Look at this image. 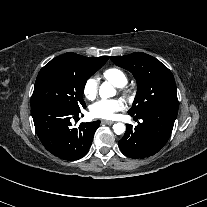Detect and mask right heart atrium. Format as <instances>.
<instances>
[{
    "mask_svg": "<svg viewBox=\"0 0 207 207\" xmlns=\"http://www.w3.org/2000/svg\"><path fill=\"white\" fill-rule=\"evenodd\" d=\"M98 90V81L96 77L88 78L83 86V94L86 98L92 99L96 96Z\"/></svg>",
    "mask_w": 207,
    "mask_h": 207,
    "instance_id": "1",
    "label": "right heart atrium"
}]
</instances>
